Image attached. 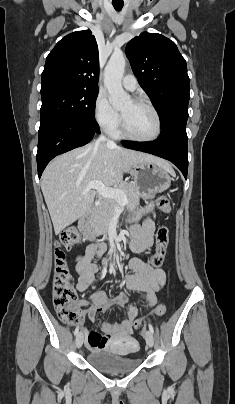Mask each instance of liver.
Instances as JSON below:
<instances>
[{
	"label": "liver",
	"mask_w": 235,
	"mask_h": 404,
	"mask_svg": "<svg viewBox=\"0 0 235 404\" xmlns=\"http://www.w3.org/2000/svg\"><path fill=\"white\" fill-rule=\"evenodd\" d=\"M154 161L172 173L170 164L155 156L126 150L115 144L95 142L76 148L52 160L42 175L41 189L55 234L82 217L92 206L95 191L90 181L112 186L134 165Z\"/></svg>",
	"instance_id": "liver-1"
}]
</instances>
